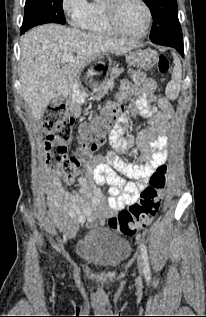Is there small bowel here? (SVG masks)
Returning a JSON list of instances; mask_svg holds the SVG:
<instances>
[{
	"label": "small bowel",
	"mask_w": 206,
	"mask_h": 317,
	"mask_svg": "<svg viewBox=\"0 0 206 317\" xmlns=\"http://www.w3.org/2000/svg\"><path fill=\"white\" fill-rule=\"evenodd\" d=\"M172 115L173 108L158 90L156 82L144 80L134 103L111 130L109 143L115 151L136 147L145 163L125 162L114 151L98 156L86 174L69 181L78 185V191L71 192L67 202L57 201L62 194L60 189L48 198V215L52 223L72 237L81 225H103L116 211L134 204L153 172L168 159L166 134ZM136 116L146 119V127L135 138L125 136L128 117ZM122 175L136 182L127 181ZM104 186H107L108 197L103 192Z\"/></svg>",
	"instance_id": "c3829d8e"
}]
</instances>
